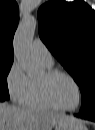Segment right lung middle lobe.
<instances>
[{
	"label": "right lung middle lobe",
	"instance_id": "1",
	"mask_svg": "<svg viewBox=\"0 0 95 130\" xmlns=\"http://www.w3.org/2000/svg\"><path fill=\"white\" fill-rule=\"evenodd\" d=\"M13 62H0V97L9 98L7 75Z\"/></svg>",
	"mask_w": 95,
	"mask_h": 130
}]
</instances>
